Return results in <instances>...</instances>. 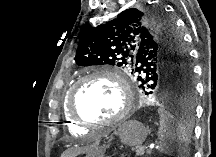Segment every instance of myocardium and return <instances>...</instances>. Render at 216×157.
Masks as SVG:
<instances>
[{
	"label": "myocardium",
	"mask_w": 216,
	"mask_h": 157,
	"mask_svg": "<svg viewBox=\"0 0 216 157\" xmlns=\"http://www.w3.org/2000/svg\"><path fill=\"white\" fill-rule=\"evenodd\" d=\"M94 78L109 79L114 83H116L121 91L122 108L119 111V113L112 119L102 120V121L88 120L83 118L76 111L75 97L77 91L79 90L82 84ZM132 107H133V96H132L129 83L117 71L109 68L94 70L84 75L79 80H77L72 86L67 100V112L70 118L74 120L76 123L80 124L81 126L88 127V128L118 125L122 123L129 116Z\"/></svg>",
	"instance_id": "f54148a6"
}]
</instances>
